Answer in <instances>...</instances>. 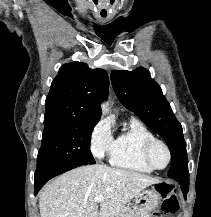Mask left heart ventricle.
<instances>
[{
  "label": "left heart ventricle",
  "mask_w": 211,
  "mask_h": 217,
  "mask_svg": "<svg viewBox=\"0 0 211 217\" xmlns=\"http://www.w3.org/2000/svg\"><path fill=\"white\" fill-rule=\"evenodd\" d=\"M152 161L158 167H164L168 160V155L165 148L161 145H156L152 150Z\"/></svg>",
  "instance_id": "obj_1"
}]
</instances>
